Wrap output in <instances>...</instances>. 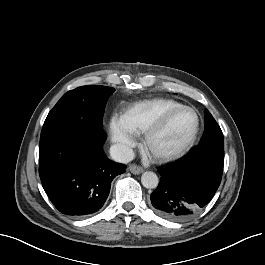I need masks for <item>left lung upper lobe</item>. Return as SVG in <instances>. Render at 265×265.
I'll return each instance as SVG.
<instances>
[{"label":"left lung upper lobe","instance_id":"5c2ea615","mask_svg":"<svg viewBox=\"0 0 265 265\" xmlns=\"http://www.w3.org/2000/svg\"><path fill=\"white\" fill-rule=\"evenodd\" d=\"M208 144L224 146V137L219 125L217 124L211 113L206 110L205 132L198 147Z\"/></svg>","mask_w":265,"mask_h":265}]
</instances>
